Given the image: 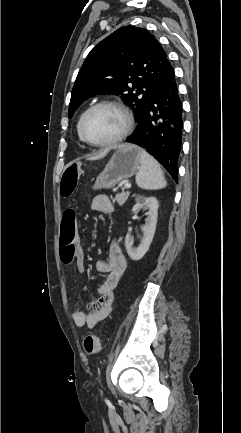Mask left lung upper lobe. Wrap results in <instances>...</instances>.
<instances>
[{"mask_svg":"<svg viewBox=\"0 0 241 433\" xmlns=\"http://www.w3.org/2000/svg\"><path fill=\"white\" fill-rule=\"evenodd\" d=\"M171 66L157 39L143 28L121 27L98 43L85 59L72 89L69 117L96 94H116L136 121Z\"/></svg>","mask_w":241,"mask_h":433,"instance_id":"left-lung-upper-lobe-1","label":"left lung upper lobe"}]
</instances>
